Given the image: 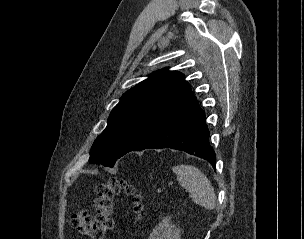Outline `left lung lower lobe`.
Returning a JSON list of instances; mask_svg holds the SVG:
<instances>
[{
	"instance_id": "left-lung-lower-lobe-1",
	"label": "left lung lower lobe",
	"mask_w": 304,
	"mask_h": 239,
	"mask_svg": "<svg viewBox=\"0 0 304 239\" xmlns=\"http://www.w3.org/2000/svg\"><path fill=\"white\" fill-rule=\"evenodd\" d=\"M208 137L209 130L205 124V113L196 101L158 127L130 151L172 148L203 158L215 168L216 155L209 145Z\"/></svg>"
}]
</instances>
